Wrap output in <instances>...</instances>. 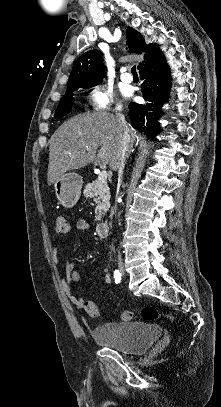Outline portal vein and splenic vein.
Here are the masks:
<instances>
[{"mask_svg":"<svg viewBox=\"0 0 221 407\" xmlns=\"http://www.w3.org/2000/svg\"><path fill=\"white\" fill-rule=\"evenodd\" d=\"M107 176H108L107 171H106V170H102V171L99 173V175H98V181H99L100 183H106V181H107Z\"/></svg>","mask_w":221,"mask_h":407,"instance_id":"1","label":"portal vein and splenic vein"}]
</instances>
